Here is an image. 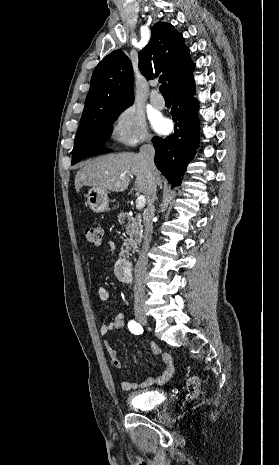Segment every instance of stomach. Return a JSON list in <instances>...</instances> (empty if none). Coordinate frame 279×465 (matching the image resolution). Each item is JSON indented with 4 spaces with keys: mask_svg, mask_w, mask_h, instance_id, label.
<instances>
[{
    "mask_svg": "<svg viewBox=\"0 0 279 465\" xmlns=\"http://www.w3.org/2000/svg\"><path fill=\"white\" fill-rule=\"evenodd\" d=\"M87 204L95 213L109 210V198L107 191L91 188L87 193Z\"/></svg>",
    "mask_w": 279,
    "mask_h": 465,
    "instance_id": "1",
    "label": "stomach"
}]
</instances>
